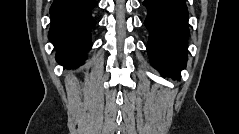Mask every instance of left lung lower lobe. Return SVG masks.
<instances>
[{
	"instance_id": "left-lung-lower-lobe-1",
	"label": "left lung lower lobe",
	"mask_w": 239,
	"mask_h": 134,
	"mask_svg": "<svg viewBox=\"0 0 239 134\" xmlns=\"http://www.w3.org/2000/svg\"><path fill=\"white\" fill-rule=\"evenodd\" d=\"M148 14L144 22L148 28V55L153 67L163 76L180 79L186 66L188 10L185 0H145Z\"/></svg>"
}]
</instances>
